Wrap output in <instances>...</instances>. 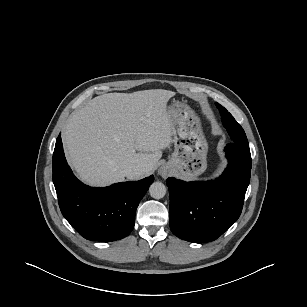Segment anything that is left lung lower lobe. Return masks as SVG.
Listing matches in <instances>:
<instances>
[{"instance_id":"obj_1","label":"left lung lower lobe","mask_w":307,"mask_h":307,"mask_svg":"<svg viewBox=\"0 0 307 307\" xmlns=\"http://www.w3.org/2000/svg\"><path fill=\"white\" fill-rule=\"evenodd\" d=\"M225 151L228 166L215 180L167 179L170 228L177 237L195 243L213 241L239 218L251 176L250 149L232 142Z\"/></svg>"}]
</instances>
